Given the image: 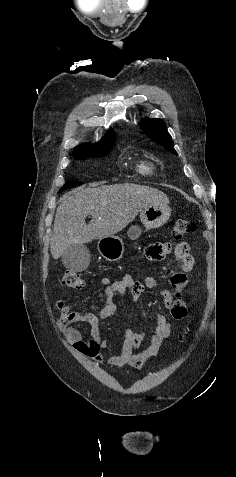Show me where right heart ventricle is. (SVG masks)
I'll use <instances>...</instances> for the list:
<instances>
[{"label": "right heart ventricle", "instance_id": "e07e8e85", "mask_svg": "<svg viewBox=\"0 0 236 477\" xmlns=\"http://www.w3.org/2000/svg\"><path fill=\"white\" fill-rule=\"evenodd\" d=\"M149 169H150V166L147 165V164H145V165L142 166V170H143V171H148Z\"/></svg>", "mask_w": 236, "mask_h": 477}]
</instances>
